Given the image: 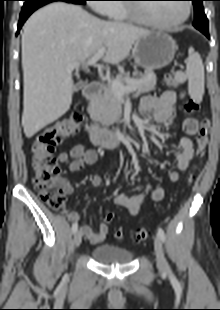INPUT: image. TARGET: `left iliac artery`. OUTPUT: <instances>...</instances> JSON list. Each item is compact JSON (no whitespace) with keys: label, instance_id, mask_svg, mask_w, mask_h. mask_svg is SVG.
I'll list each match as a JSON object with an SVG mask.
<instances>
[{"label":"left iliac artery","instance_id":"44dca946","mask_svg":"<svg viewBox=\"0 0 220 310\" xmlns=\"http://www.w3.org/2000/svg\"><path fill=\"white\" fill-rule=\"evenodd\" d=\"M157 234H158L159 238L161 239V241L165 242L166 236H165V232L162 228H158Z\"/></svg>","mask_w":220,"mask_h":310}]
</instances>
